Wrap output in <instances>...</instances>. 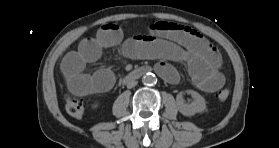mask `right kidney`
I'll return each instance as SVG.
<instances>
[{
    "instance_id": "ca27d5eb",
    "label": "right kidney",
    "mask_w": 279,
    "mask_h": 148,
    "mask_svg": "<svg viewBox=\"0 0 279 148\" xmlns=\"http://www.w3.org/2000/svg\"><path fill=\"white\" fill-rule=\"evenodd\" d=\"M98 106H99V103H94V104L92 105V108H93V109H96Z\"/></svg>"
}]
</instances>
